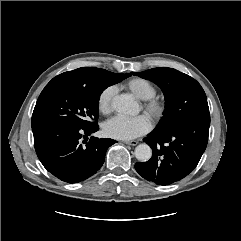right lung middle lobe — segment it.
<instances>
[{"label":"right lung middle lobe","instance_id":"dd1d6c3e","mask_svg":"<svg viewBox=\"0 0 241 241\" xmlns=\"http://www.w3.org/2000/svg\"><path fill=\"white\" fill-rule=\"evenodd\" d=\"M129 76L130 74L105 71L91 83L53 78L37 100L32 115V128L54 123L71 124L84 129L98 126L96 122L101 93L108 86Z\"/></svg>","mask_w":241,"mask_h":241}]
</instances>
